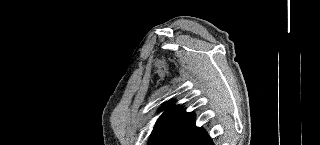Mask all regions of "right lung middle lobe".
<instances>
[{
    "mask_svg": "<svg viewBox=\"0 0 320 145\" xmlns=\"http://www.w3.org/2000/svg\"><path fill=\"white\" fill-rule=\"evenodd\" d=\"M174 136H155L150 138L148 145H168Z\"/></svg>",
    "mask_w": 320,
    "mask_h": 145,
    "instance_id": "obj_1",
    "label": "right lung middle lobe"
}]
</instances>
